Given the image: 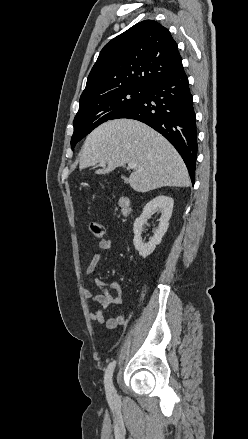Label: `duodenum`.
Wrapping results in <instances>:
<instances>
[{
  "instance_id": "duodenum-1",
  "label": "duodenum",
  "mask_w": 248,
  "mask_h": 439,
  "mask_svg": "<svg viewBox=\"0 0 248 439\" xmlns=\"http://www.w3.org/2000/svg\"><path fill=\"white\" fill-rule=\"evenodd\" d=\"M131 201L128 196H121L118 200V206L123 215L127 216L130 214Z\"/></svg>"
}]
</instances>
